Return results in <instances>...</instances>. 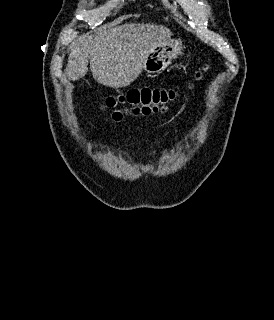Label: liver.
Here are the masks:
<instances>
[{"label":"liver","instance_id":"obj_1","mask_svg":"<svg viewBox=\"0 0 274 320\" xmlns=\"http://www.w3.org/2000/svg\"><path fill=\"white\" fill-rule=\"evenodd\" d=\"M171 36L168 28L155 24L102 26L97 34H84L71 44L67 76L69 80L84 78L90 64L98 84L108 88L131 86L139 78L147 56Z\"/></svg>","mask_w":274,"mask_h":320}]
</instances>
